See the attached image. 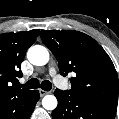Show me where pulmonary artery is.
Wrapping results in <instances>:
<instances>
[{
    "mask_svg": "<svg viewBox=\"0 0 119 119\" xmlns=\"http://www.w3.org/2000/svg\"><path fill=\"white\" fill-rule=\"evenodd\" d=\"M49 74L54 78V80L57 82V74H56V69L54 67L49 68Z\"/></svg>",
    "mask_w": 119,
    "mask_h": 119,
    "instance_id": "obj_1",
    "label": "pulmonary artery"
}]
</instances>
